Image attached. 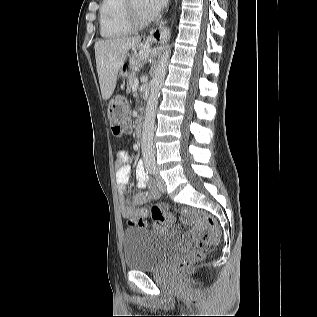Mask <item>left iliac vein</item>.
Wrapping results in <instances>:
<instances>
[{
    "label": "left iliac vein",
    "mask_w": 317,
    "mask_h": 317,
    "mask_svg": "<svg viewBox=\"0 0 317 317\" xmlns=\"http://www.w3.org/2000/svg\"><path fill=\"white\" fill-rule=\"evenodd\" d=\"M156 185L161 192H166L165 182L160 176L156 178Z\"/></svg>",
    "instance_id": "1"
}]
</instances>
